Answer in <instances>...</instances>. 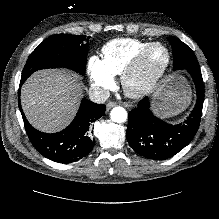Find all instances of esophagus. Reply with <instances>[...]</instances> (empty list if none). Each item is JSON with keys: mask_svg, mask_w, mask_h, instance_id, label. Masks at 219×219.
Wrapping results in <instances>:
<instances>
[{"mask_svg": "<svg viewBox=\"0 0 219 219\" xmlns=\"http://www.w3.org/2000/svg\"><path fill=\"white\" fill-rule=\"evenodd\" d=\"M116 103L115 102H108L106 105L107 111L110 110L112 107H115Z\"/></svg>", "mask_w": 219, "mask_h": 219, "instance_id": "1", "label": "esophagus"}]
</instances>
